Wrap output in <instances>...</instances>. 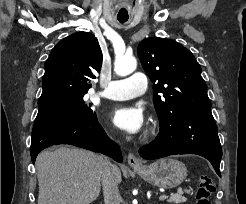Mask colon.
<instances>
[{
  "label": "colon",
  "instance_id": "colon-1",
  "mask_svg": "<svg viewBox=\"0 0 246 204\" xmlns=\"http://www.w3.org/2000/svg\"><path fill=\"white\" fill-rule=\"evenodd\" d=\"M215 189L213 179L208 175H201L196 191V204H211L210 197Z\"/></svg>",
  "mask_w": 246,
  "mask_h": 204
}]
</instances>
